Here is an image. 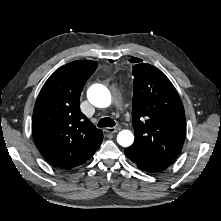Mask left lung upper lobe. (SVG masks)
Returning a JSON list of instances; mask_svg holds the SVG:
<instances>
[{
  "instance_id": "obj_1",
  "label": "left lung upper lobe",
  "mask_w": 221,
  "mask_h": 221,
  "mask_svg": "<svg viewBox=\"0 0 221 221\" xmlns=\"http://www.w3.org/2000/svg\"><path fill=\"white\" fill-rule=\"evenodd\" d=\"M132 74L135 142L130 147L170 165L179 154L186 135L181 99L170 80L150 64L133 66Z\"/></svg>"
}]
</instances>
